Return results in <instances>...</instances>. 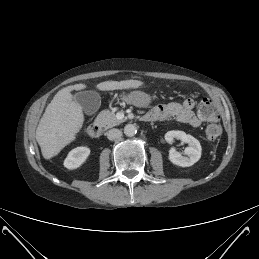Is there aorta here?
Instances as JSON below:
<instances>
[{
	"mask_svg": "<svg viewBox=\"0 0 259 259\" xmlns=\"http://www.w3.org/2000/svg\"><path fill=\"white\" fill-rule=\"evenodd\" d=\"M137 133V128L134 124H127L124 127V134L128 137H132Z\"/></svg>",
	"mask_w": 259,
	"mask_h": 259,
	"instance_id": "obj_1",
	"label": "aorta"
}]
</instances>
